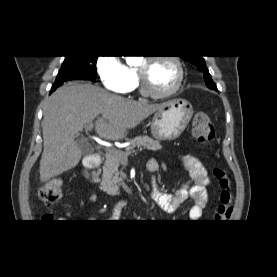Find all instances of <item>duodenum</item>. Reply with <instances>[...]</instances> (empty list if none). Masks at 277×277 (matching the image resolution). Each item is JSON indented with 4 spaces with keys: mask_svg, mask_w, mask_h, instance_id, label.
I'll return each mask as SVG.
<instances>
[{
    "mask_svg": "<svg viewBox=\"0 0 277 277\" xmlns=\"http://www.w3.org/2000/svg\"><path fill=\"white\" fill-rule=\"evenodd\" d=\"M101 163H102V158L100 154L93 153L87 156L84 161L85 172L98 169Z\"/></svg>",
    "mask_w": 277,
    "mask_h": 277,
    "instance_id": "obj_1",
    "label": "duodenum"
}]
</instances>
